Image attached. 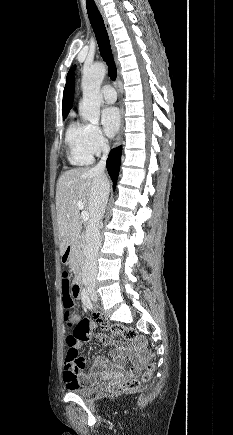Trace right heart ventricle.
Masks as SVG:
<instances>
[{"instance_id":"obj_1","label":"right heart ventricle","mask_w":233,"mask_h":435,"mask_svg":"<svg viewBox=\"0 0 233 435\" xmlns=\"http://www.w3.org/2000/svg\"><path fill=\"white\" fill-rule=\"evenodd\" d=\"M88 124L71 120L66 131V143L69 148L68 159L76 166H87L93 162V155L87 146Z\"/></svg>"}]
</instances>
